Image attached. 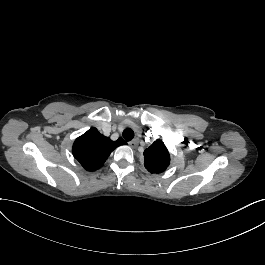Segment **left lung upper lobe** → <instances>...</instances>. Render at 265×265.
<instances>
[{
    "instance_id": "5c2ea615",
    "label": "left lung upper lobe",
    "mask_w": 265,
    "mask_h": 265,
    "mask_svg": "<svg viewBox=\"0 0 265 265\" xmlns=\"http://www.w3.org/2000/svg\"><path fill=\"white\" fill-rule=\"evenodd\" d=\"M170 164V154L162 142L157 139L144 151V166L150 173H161Z\"/></svg>"
}]
</instances>
